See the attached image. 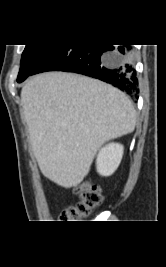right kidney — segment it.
<instances>
[{"mask_svg":"<svg viewBox=\"0 0 166 267\" xmlns=\"http://www.w3.org/2000/svg\"><path fill=\"white\" fill-rule=\"evenodd\" d=\"M123 146L111 143L100 150L97 156V171L102 176H110L118 168L122 156Z\"/></svg>","mask_w":166,"mask_h":267,"instance_id":"ca27d5eb","label":"right kidney"}]
</instances>
